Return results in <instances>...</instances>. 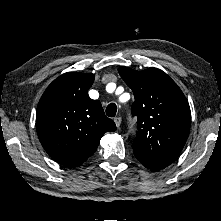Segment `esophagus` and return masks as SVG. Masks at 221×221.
<instances>
[{
    "label": "esophagus",
    "instance_id": "34e87169",
    "mask_svg": "<svg viewBox=\"0 0 221 221\" xmlns=\"http://www.w3.org/2000/svg\"><path fill=\"white\" fill-rule=\"evenodd\" d=\"M121 121H122L121 117H116V118H114V122H115L117 128L120 127Z\"/></svg>",
    "mask_w": 221,
    "mask_h": 221
}]
</instances>
